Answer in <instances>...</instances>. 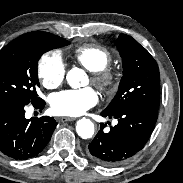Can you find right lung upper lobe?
Returning a JSON list of instances; mask_svg holds the SVG:
<instances>
[{
	"instance_id": "cb5924a9",
	"label": "right lung upper lobe",
	"mask_w": 183,
	"mask_h": 183,
	"mask_svg": "<svg viewBox=\"0 0 183 183\" xmlns=\"http://www.w3.org/2000/svg\"><path fill=\"white\" fill-rule=\"evenodd\" d=\"M29 35H39V36H42V37H45V38H48V39H57L58 38V36H55V35L47 33V32H41V31L29 32V33L21 35L18 38L29 36Z\"/></svg>"
}]
</instances>
